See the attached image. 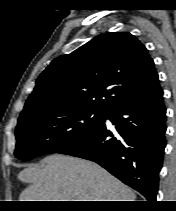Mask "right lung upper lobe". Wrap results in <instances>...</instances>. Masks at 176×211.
<instances>
[{
  "label": "right lung upper lobe",
  "mask_w": 176,
  "mask_h": 211,
  "mask_svg": "<svg viewBox=\"0 0 176 211\" xmlns=\"http://www.w3.org/2000/svg\"><path fill=\"white\" fill-rule=\"evenodd\" d=\"M158 86L145 46L128 32L106 33L54 59L36 80L19 118L74 107L108 112Z\"/></svg>",
  "instance_id": "1"
}]
</instances>
